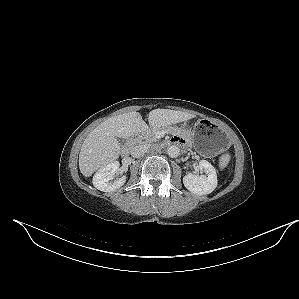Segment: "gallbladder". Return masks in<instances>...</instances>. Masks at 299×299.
I'll return each mask as SVG.
<instances>
[{
  "label": "gallbladder",
  "instance_id": "bac80fb5",
  "mask_svg": "<svg viewBox=\"0 0 299 299\" xmlns=\"http://www.w3.org/2000/svg\"><path fill=\"white\" fill-rule=\"evenodd\" d=\"M118 142L121 144V145H124L125 144V139L123 138H117Z\"/></svg>",
  "mask_w": 299,
  "mask_h": 299
}]
</instances>
